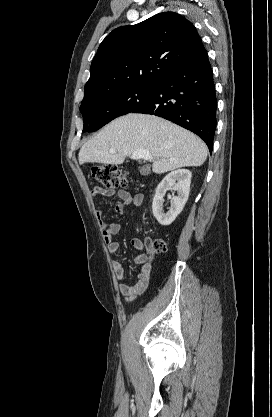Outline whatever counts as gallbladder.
I'll list each match as a JSON object with an SVG mask.
<instances>
[{
	"label": "gallbladder",
	"instance_id": "1",
	"mask_svg": "<svg viewBox=\"0 0 272 417\" xmlns=\"http://www.w3.org/2000/svg\"><path fill=\"white\" fill-rule=\"evenodd\" d=\"M140 172H141V174H143V175H146V174H148L149 173V169H147V168H141L140 169Z\"/></svg>",
	"mask_w": 272,
	"mask_h": 417
}]
</instances>
